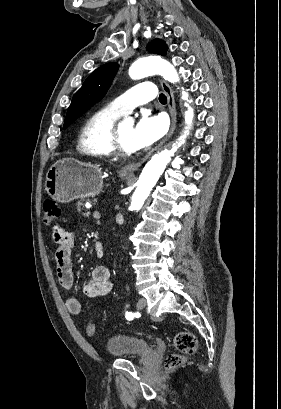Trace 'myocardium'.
<instances>
[{
    "label": "myocardium",
    "instance_id": "f54148a6",
    "mask_svg": "<svg viewBox=\"0 0 281 409\" xmlns=\"http://www.w3.org/2000/svg\"><path fill=\"white\" fill-rule=\"evenodd\" d=\"M120 124L121 122L116 121L110 126L106 136V147L111 156L129 158L133 156L137 150H126L121 147L119 140Z\"/></svg>",
    "mask_w": 281,
    "mask_h": 409
}]
</instances>
